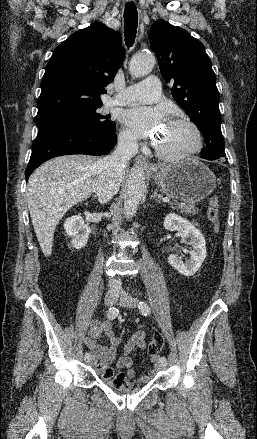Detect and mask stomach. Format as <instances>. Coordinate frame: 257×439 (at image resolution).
I'll return each mask as SVG.
<instances>
[{
  "mask_svg": "<svg viewBox=\"0 0 257 439\" xmlns=\"http://www.w3.org/2000/svg\"><path fill=\"white\" fill-rule=\"evenodd\" d=\"M153 177L165 194L187 204L203 200L216 185L214 173L202 162L191 158L164 165Z\"/></svg>",
  "mask_w": 257,
  "mask_h": 439,
  "instance_id": "obj_1",
  "label": "stomach"
}]
</instances>
